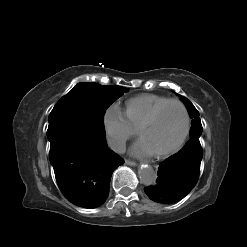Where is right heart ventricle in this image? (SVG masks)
<instances>
[{
  "label": "right heart ventricle",
  "instance_id": "obj_1",
  "mask_svg": "<svg viewBox=\"0 0 247 247\" xmlns=\"http://www.w3.org/2000/svg\"><path fill=\"white\" fill-rule=\"evenodd\" d=\"M169 98L156 94H142L126 101L124 115L129 125L137 130L141 123L160 104Z\"/></svg>",
  "mask_w": 247,
  "mask_h": 247
}]
</instances>
